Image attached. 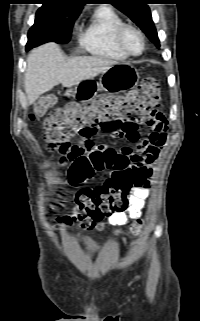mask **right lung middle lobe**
Instances as JSON below:
<instances>
[{
	"label": "right lung middle lobe",
	"instance_id": "obj_1",
	"mask_svg": "<svg viewBox=\"0 0 200 321\" xmlns=\"http://www.w3.org/2000/svg\"><path fill=\"white\" fill-rule=\"evenodd\" d=\"M80 12L54 14L48 8L38 9L34 25L29 29L26 50L46 42L66 44L69 42L74 21Z\"/></svg>",
	"mask_w": 200,
	"mask_h": 321
}]
</instances>
